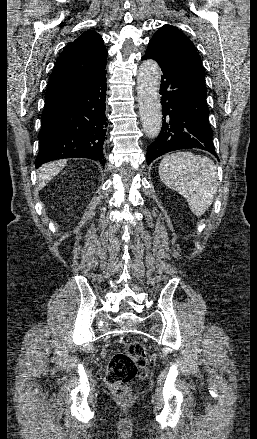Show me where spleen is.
<instances>
[{
    "label": "spleen",
    "mask_w": 257,
    "mask_h": 439,
    "mask_svg": "<svg viewBox=\"0 0 257 439\" xmlns=\"http://www.w3.org/2000/svg\"><path fill=\"white\" fill-rule=\"evenodd\" d=\"M161 181L181 194L194 215L201 217L211 206L218 186L214 162L188 151L166 155L159 165Z\"/></svg>",
    "instance_id": "spleen-1"
}]
</instances>
